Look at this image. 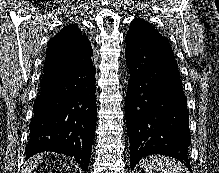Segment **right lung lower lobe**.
Masks as SVG:
<instances>
[{
    "label": "right lung lower lobe",
    "mask_w": 219,
    "mask_h": 173,
    "mask_svg": "<svg viewBox=\"0 0 219 173\" xmlns=\"http://www.w3.org/2000/svg\"><path fill=\"white\" fill-rule=\"evenodd\" d=\"M91 56H73L62 66L45 61L29 125L27 158L44 151L58 152L74 157L84 171L88 169L97 118Z\"/></svg>",
    "instance_id": "obj_1"
}]
</instances>
